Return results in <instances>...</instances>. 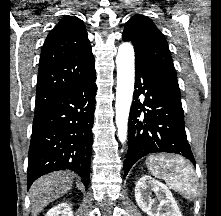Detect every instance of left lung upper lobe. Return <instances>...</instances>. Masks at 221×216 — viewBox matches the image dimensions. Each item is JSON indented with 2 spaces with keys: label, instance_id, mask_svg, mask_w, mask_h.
Returning <instances> with one entry per match:
<instances>
[{
  "label": "left lung upper lobe",
  "instance_id": "5c2ea615",
  "mask_svg": "<svg viewBox=\"0 0 221 216\" xmlns=\"http://www.w3.org/2000/svg\"><path fill=\"white\" fill-rule=\"evenodd\" d=\"M122 38L124 41L132 42L137 61L160 70L173 81L177 95L181 99L167 41L152 21L143 15L131 17L125 25Z\"/></svg>",
  "mask_w": 221,
  "mask_h": 216
}]
</instances>
